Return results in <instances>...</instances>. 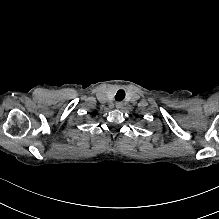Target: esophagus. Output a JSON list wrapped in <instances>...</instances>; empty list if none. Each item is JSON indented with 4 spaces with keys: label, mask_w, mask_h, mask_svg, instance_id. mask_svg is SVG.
<instances>
[{
    "label": "esophagus",
    "mask_w": 219,
    "mask_h": 219,
    "mask_svg": "<svg viewBox=\"0 0 219 219\" xmlns=\"http://www.w3.org/2000/svg\"><path fill=\"white\" fill-rule=\"evenodd\" d=\"M115 106H116L117 109H120V108L123 107V103H122V102H117V103L115 104Z\"/></svg>",
    "instance_id": "esophagus-1"
}]
</instances>
